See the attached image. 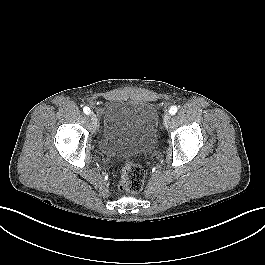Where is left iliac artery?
<instances>
[{
	"label": "left iliac artery",
	"mask_w": 265,
	"mask_h": 265,
	"mask_svg": "<svg viewBox=\"0 0 265 265\" xmlns=\"http://www.w3.org/2000/svg\"><path fill=\"white\" fill-rule=\"evenodd\" d=\"M177 106H172L171 108H170V110H169V113L171 114V115H174L176 112H177Z\"/></svg>",
	"instance_id": "obj_1"
}]
</instances>
